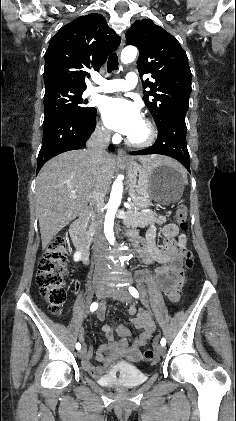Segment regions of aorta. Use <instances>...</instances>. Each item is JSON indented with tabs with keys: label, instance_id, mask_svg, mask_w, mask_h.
I'll return each mask as SVG.
<instances>
[{
	"label": "aorta",
	"instance_id": "762f6f07",
	"mask_svg": "<svg viewBox=\"0 0 236 421\" xmlns=\"http://www.w3.org/2000/svg\"><path fill=\"white\" fill-rule=\"evenodd\" d=\"M137 52L136 46H125L121 52L122 62H124V64L132 62V60H135ZM122 192L123 186L121 180H115V182H113L110 198L107 202V213L104 223L105 237L110 245H114L115 243L113 225L117 208L121 202Z\"/></svg>",
	"mask_w": 236,
	"mask_h": 421
}]
</instances>
